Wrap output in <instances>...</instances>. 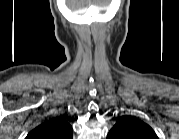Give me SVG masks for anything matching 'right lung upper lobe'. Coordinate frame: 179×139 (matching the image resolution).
I'll return each instance as SVG.
<instances>
[{
    "instance_id": "obj_1",
    "label": "right lung upper lobe",
    "mask_w": 179,
    "mask_h": 139,
    "mask_svg": "<svg viewBox=\"0 0 179 139\" xmlns=\"http://www.w3.org/2000/svg\"><path fill=\"white\" fill-rule=\"evenodd\" d=\"M28 139H72V127L62 117L46 121L27 136Z\"/></svg>"
}]
</instances>
